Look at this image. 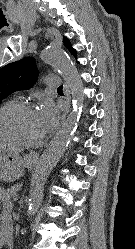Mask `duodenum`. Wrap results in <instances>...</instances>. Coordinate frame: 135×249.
<instances>
[{
  "label": "duodenum",
  "mask_w": 135,
  "mask_h": 249,
  "mask_svg": "<svg viewBox=\"0 0 135 249\" xmlns=\"http://www.w3.org/2000/svg\"><path fill=\"white\" fill-rule=\"evenodd\" d=\"M12 244L13 241L12 236L10 234L3 236L0 241V246L2 249H11Z\"/></svg>",
  "instance_id": "410a0bca"
}]
</instances>
